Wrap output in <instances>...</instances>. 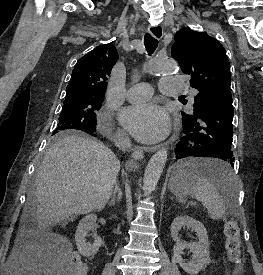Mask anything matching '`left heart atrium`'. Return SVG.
Segmentation results:
<instances>
[{
    "mask_svg": "<svg viewBox=\"0 0 263 275\" xmlns=\"http://www.w3.org/2000/svg\"><path fill=\"white\" fill-rule=\"evenodd\" d=\"M123 126L139 141L152 143L169 132V117L156 103H140L128 107L122 114Z\"/></svg>",
    "mask_w": 263,
    "mask_h": 275,
    "instance_id": "39dd6f15",
    "label": "left heart atrium"
}]
</instances>
